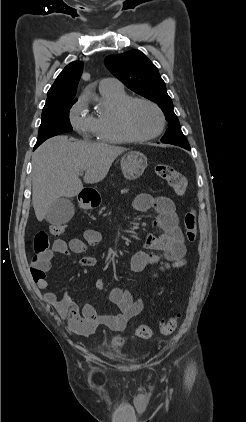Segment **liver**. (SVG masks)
<instances>
[{"mask_svg": "<svg viewBox=\"0 0 246 422\" xmlns=\"http://www.w3.org/2000/svg\"><path fill=\"white\" fill-rule=\"evenodd\" d=\"M124 151L123 147L75 141L67 136L44 142L32 157V204L37 220L46 217L58 198H71L80 193L83 189L79 179L81 171H85L86 184L98 183Z\"/></svg>", "mask_w": 246, "mask_h": 422, "instance_id": "1", "label": "liver"}]
</instances>
